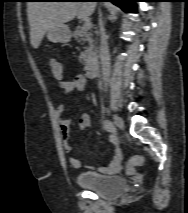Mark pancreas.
<instances>
[{"label": "pancreas", "instance_id": "obj_1", "mask_svg": "<svg viewBox=\"0 0 188 213\" xmlns=\"http://www.w3.org/2000/svg\"><path fill=\"white\" fill-rule=\"evenodd\" d=\"M95 31L92 26L89 29H84L83 26H77L73 36L80 43L85 44L84 52L80 54L79 60L83 64L89 63V61L97 56V47L95 46V39L93 38Z\"/></svg>", "mask_w": 188, "mask_h": 213}]
</instances>
